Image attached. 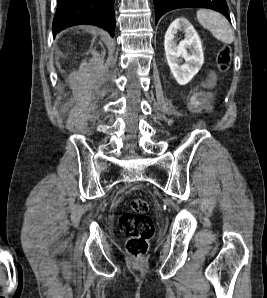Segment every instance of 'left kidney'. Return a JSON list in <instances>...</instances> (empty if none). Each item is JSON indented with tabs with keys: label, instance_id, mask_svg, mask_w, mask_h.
<instances>
[{
	"label": "left kidney",
	"instance_id": "obj_1",
	"mask_svg": "<svg viewBox=\"0 0 267 298\" xmlns=\"http://www.w3.org/2000/svg\"><path fill=\"white\" fill-rule=\"evenodd\" d=\"M178 31L185 33L184 40L179 44L175 41ZM164 49L175 80L180 85H186L198 73L204 61L201 40L187 19L177 18L171 23L165 34Z\"/></svg>",
	"mask_w": 267,
	"mask_h": 298
}]
</instances>
